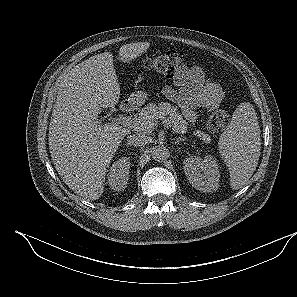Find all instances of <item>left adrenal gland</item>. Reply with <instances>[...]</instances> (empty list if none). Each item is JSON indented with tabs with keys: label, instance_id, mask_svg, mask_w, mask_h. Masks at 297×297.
<instances>
[{
	"label": "left adrenal gland",
	"instance_id": "a2214340",
	"mask_svg": "<svg viewBox=\"0 0 297 297\" xmlns=\"http://www.w3.org/2000/svg\"><path fill=\"white\" fill-rule=\"evenodd\" d=\"M185 140V138H178L177 140H176V142H175V144H179L181 141H184Z\"/></svg>",
	"mask_w": 297,
	"mask_h": 297
}]
</instances>
